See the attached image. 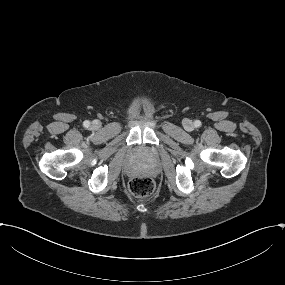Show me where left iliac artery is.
I'll return each instance as SVG.
<instances>
[{
    "label": "left iliac artery",
    "mask_w": 285,
    "mask_h": 285,
    "mask_svg": "<svg viewBox=\"0 0 285 285\" xmlns=\"http://www.w3.org/2000/svg\"><path fill=\"white\" fill-rule=\"evenodd\" d=\"M194 125H195V127H200L201 125H202V123H201V121L200 120H195L194 121Z\"/></svg>",
    "instance_id": "obj_1"
}]
</instances>
